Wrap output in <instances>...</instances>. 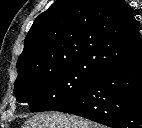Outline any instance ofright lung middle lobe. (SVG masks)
<instances>
[{"instance_id": "1", "label": "right lung middle lobe", "mask_w": 142, "mask_h": 128, "mask_svg": "<svg viewBox=\"0 0 142 128\" xmlns=\"http://www.w3.org/2000/svg\"><path fill=\"white\" fill-rule=\"evenodd\" d=\"M95 77L83 66L47 69L16 80L14 94L31 112L55 111L85 91Z\"/></svg>"}]
</instances>
